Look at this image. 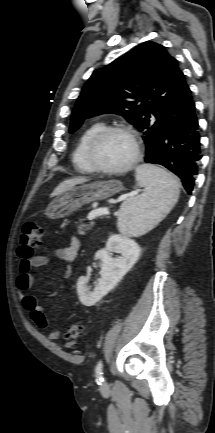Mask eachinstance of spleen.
Instances as JSON below:
<instances>
[{
  "label": "spleen",
  "mask_w": 215,
  "mask_h": 433,
  "mask_svg": "<svg viewBox=\"0 0 215 433\" xmlns=\"http://www.w3.org/2000/svg\"><path fill=\"white\" fill-rule=\"evenodd\" d=\"M136 181L145 192L125 200L118 216V230L128 236H140L153 229L172 210L180 193L174 177L154 165L137 167Z\"/></svg>",
  "instance_id": "spleen-1"
}]
</instances>
